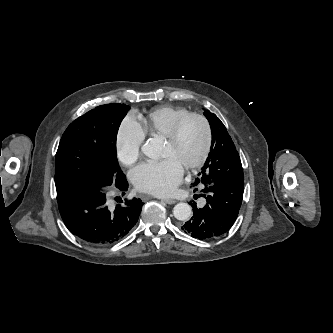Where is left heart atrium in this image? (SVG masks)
I'll return each mask as SVG.
<instances>
[{
    "label": "left heart atrium",
    "mask_w": 333,
    "mask_h": 333,
    "mask_svg": "<svg viewBox=\"0 0 333 333\" xmlns=\"http://www.w3.org/2000/svg\"><path fill=\"white\" fill-rule=\"evenodd\" d=\"M182 176L183 167L170 157L141 163L130 172V179L137 190L157 196L171 194Z\"/></svg>",
    "instance_id": "39dd6f15"
}]
</instances>
